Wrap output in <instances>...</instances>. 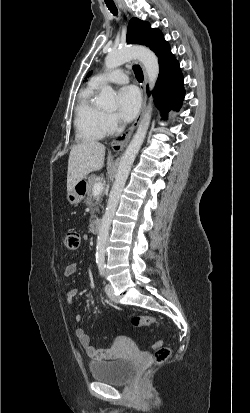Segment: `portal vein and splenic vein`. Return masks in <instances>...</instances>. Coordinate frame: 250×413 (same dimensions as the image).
Instances as JSON below:
<instances>
[{
    "label": "portal vein and splenic vein",
    "instance_id": "portal-vein-and-splenic-vein-1",
    "mask_svg": "<svg viewBox=\"0 0 250 413\" xmlns=\"http://www.w3.org/2000/svg\"><path fill=\"white\" fill-rule=\"evenodd\" d=\"M103 190V183L102 182H97L93 186V193L94 194H99Z\"/></svg>",
    "mask_w": 250,
    "mask_h": 413
}]
</instances>
